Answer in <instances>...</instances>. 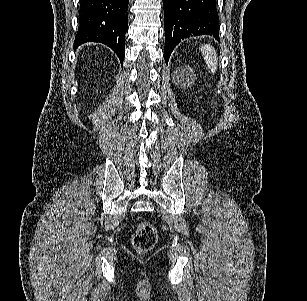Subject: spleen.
<instances>
[{"label":"spleen","mask_w":307,"mask_h":301,"mask_svg":"<svg viewBox=\"0 0 307 301\" xmlns=\"http://www.w3.org/2000/svg\"><path fill=\"white\" fill-rule=\"evenodd\" d=\"M201 54L210 70L212 72H216L217 70V64H218V58H217V52L214 48V46H211V44H202L201 46Z\"/></svg>","instance_id":"3e777b00"}]
</instances>
